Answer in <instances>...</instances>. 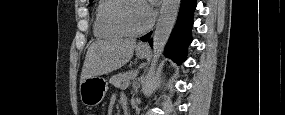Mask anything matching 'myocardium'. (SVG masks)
Here are the masks:
<instances>
[{
	"label": "myocardium",
	"instance_id": "myocardium-1",
	"mask_svg": "<svg viewBox=\"0 0 285 115\" xmlns=\"http://www.w3.org/2000/svg\"><path fill=\"white\" fill-rule=\"evenodd\" d=\"M131 2H139V1H137V0H119L117 2V4L110 11V13L108 15V19L115 27H117L125 35L137 36V35H141V34L145 33L149 29L150 25L148 24L140 30H132L124 23V21L122 20L121 14H122V11L124 10V8L126 7V5L128 3H131Z\"/></svg>",
	"mask_w": 285,
	"mask_h": 115
}]
</instances>
